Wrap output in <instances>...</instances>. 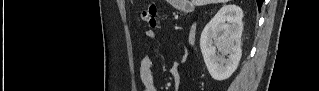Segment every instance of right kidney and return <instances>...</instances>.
Instances as JSON below:
<instances>
[{
    "label": "right kidney",
    "mask_w": 319,
    "mask_h": 91,
    "mask_svg": "<svg viewBox=\"0 0 319 91\" xmlns=\"http://www.w3.org/2000/svg\"><path fill=\"white\" fill-rule=\"evenodd\" d=\"M243 11L236 5H224L205 26L200 38L201 52L214 80L229 78L241 59ZM216 49L227 59L216 55Z\"/></svg>",
    "instance_id": "right-kidney-1"
}]
</instances>
